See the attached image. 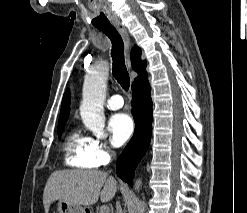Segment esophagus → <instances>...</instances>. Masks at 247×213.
<instances>
[{"mask_svg": "<svg viewBox=\"0 0 247 213\" xmlns=\"http://www.w3.org/2000/svg\"><path fill=\"white\" fill-rule=\"evenodd\" d=\"M113 25L118 30V32L120 33V35L122 36L124 40L125 47H126V61H127L128 68H131L130 58H129L131 41H130L129 34L126 28L120 22H113Z\"/></svg>", "mask_w": 247, "mask_h": 213, "instance_id": "esophagus-1", "label": "esophagus"}]
</instances>
